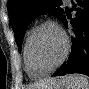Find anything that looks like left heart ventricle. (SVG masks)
<instances>
[{
    "label": "left heart ventricle",
    "mask_w": 89,
    "mask_h": 89,
    "mask_svg": "<svg viewBox=\"0 0 89 89\" xmlns=\"http://www.w3.org/2000/svg\"><path fill=\"white\" fill-rule=\"evenodd\" d=\"M64 50V39L53 26H45L37 33L33 43V54L40 69L53 66Z\"/></svg>",
    "instance_id": "b2bd125f"
}]
</instances>
